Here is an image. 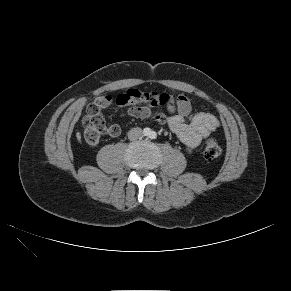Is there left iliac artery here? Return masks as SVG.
<instances>
[{"mask_svg": "<svg viewBox=\"0 0 291 291\" xmlns=\"http://www.w3.org/2000/svg\"><path fill=\"white\" fill-rule=\"evenodd\" d=\"M151 139H156L157 138V133L156 132H154V131H152L151 133H150V136H149Z\"/></svg>", "mask_w": 291, "mask_h": 291, "instance_id": "left-iliac-artery-1", "label": "left iliac artery"}]
</instances>
